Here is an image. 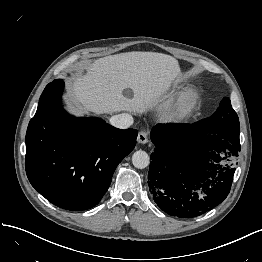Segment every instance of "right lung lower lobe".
<instances>
[{
  "label": "right lung lower lobe",
  "mask_w": 262,
  "mask_h": 262,
  "mask_svg": "<svg viewBox=\"0 0 262 262\" xmlns=\"http://www.w3.org/2000/svg\"><path fill=\"white\" fill-rule=\"evenodd\" d=\"M64 82L49 83L26 133L25 168L32 186L54 205L72 211L99 203L117 165L133 150L138 131L99 118H77L61 104Z\"/></svg>",
  "instance_id": "98d812e1"
}]
</instances>
